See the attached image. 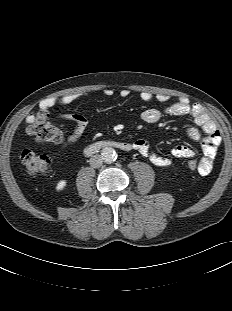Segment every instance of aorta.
Returning <instances> with one entry per match:
<instances>
[{
	"label": "aorta",
	"mask_w": 232,
	"mask_h": 311,
	"mask_svg": "<svg viewBox=\"0 0 232 311\" xmlns=\"http://www.w3.org/2000/svg\"><path fill=\"white\" fill-rule=\"evenodd\" d=\"M101 157L106 163H112L117 159V153L112 147H105L101 151Z\"/></svg>",
	"instance_id": "obj_1"
}]
</instances>
